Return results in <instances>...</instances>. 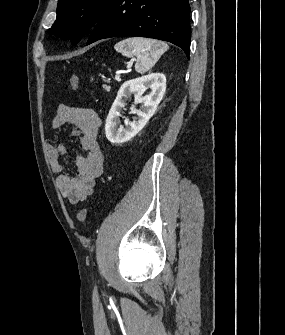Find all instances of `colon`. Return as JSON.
I'll list each match as a JSON object with an SVG mask.
<instances>
[{
    "instance_id": "obj_1",
    "label": "colon",
    "mask_w": 285,
    "mask_h": 335,
    "mask_svg": "<svg viewBox=\"0 0 285 335\" xmlns=\"http://www.w3.org/2000/svg\"><path fill=\"white\" fill-rule=\"evenodd\" d=\"M70 86L73 90L77 91L79 89V78L76 74H72L70 77ZM88 216V209L87 208H82L78 211L77 213V220L81 223L84 224L87 220Z\"/></svg>"
}]
</instances>
